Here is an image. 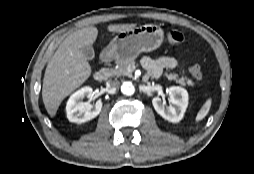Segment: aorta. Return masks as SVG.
<instances>
[{
    "mask_svg": "<svg viewBox=\"0 0 254 174\" xmlns=\"http://www.w3.org/2000/svg\"><path fill=\"white\" fill-rule=\"evenodd\" d=\"M121 92L124 95L130 96L135 92V88L131 82H124L121 86Z\"/></svg>",
    "mask_w": 254,
    "mask_h": 174,
    "instance_id": "762f6f07",
    "label": "aorta"
}]
</instances>
